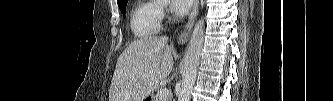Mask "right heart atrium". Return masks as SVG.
<instances>
[{
    "label": "right heart atrium",
    "mask_w": 333,
    "mask_h": 101,
    "mask_svg": "<svg viewBox=\"0 0 333 101\" xmlns=\"http://www.w3.org/2000/svg\"><path fill=\"white\" fill-rule=\"evenodd\" d=\"M164 15V11L163 10H161V16H163Z\"/></svg>",
    "instance_id": "1"
}]
</instances>
